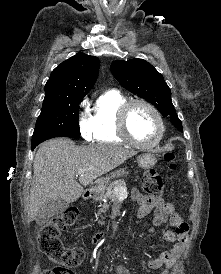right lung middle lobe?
I'll return each mask as SVG.
<instances>
[{"mask_svg": "<svg viewBox=\"0 0 221 274\" xmlns=\"http://www.w3.org/2000/svg\"><path fill=\"white\" fill-rule=\"evenodd\" d=\"M82 98L44 100L31 145L54 137H79V104Z\"/></svg>", "mask_w": 221, "mask_h": 274, "instance_id": "obj_1", "label": "right lung middle lobe"}]
</instances>
